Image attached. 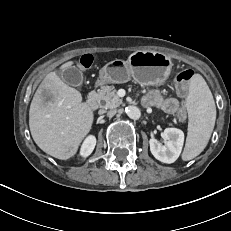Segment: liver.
Instances as JSON below:
<instances>
[{"label":"liver","mask_w":231,"mask_h":231,"mask_svg":"<svg viewBox=\"0 0 231 231\" xmlns=\"http://www.w3.org/2000/svg\"><path fill=\"white\" fill-rule=\"evenodd\" d=\"M73 63L68 61L60 68ZM93 121V111L82 103L81 93L66 85L55 71L48 73L29 110L30 132L37 146L50 156L67 160L76 153Z\"/></svg>","instance_id":"1"}]
</instances>
